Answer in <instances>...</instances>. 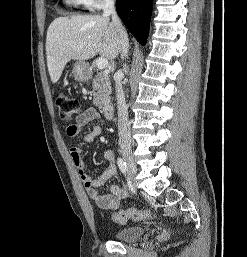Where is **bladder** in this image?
<instances>
[{"label":"bladder","mask_w":247,"mask_h":257,"mask_svg":"<svg viewBox=\"0 0 247 257\" xmlns=\"http://www.w3.org/2000/svg\"><path fill=\"white\" fill-rule=\"evenodd\" d=\"M146 232L142 226H129L116 229L113 232V238L120 242H135L139 240Z\"/></svg>","instance_id":"1"}]
</instances>
